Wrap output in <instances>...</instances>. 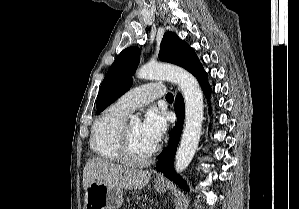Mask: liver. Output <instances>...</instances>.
I'll return each mask as SVG.
<instances>
[{"instance_id": "obj_1", "label": "liver", "mask_w": 299, "mask_h": 209, "mask_svg": "<svg viewBox=\"0 0 299 209\" xmlns=\"http://www.w3.org/2000/svg\"><path fill=\"white\" fill-rule=\"evenodd\" d=\"M151 173L109 163L98 158L86 162L83 170V188L86 190L92 182L99 181L110 186L126 190H138L145 187Z\"/></svg>"}]
</instances>
